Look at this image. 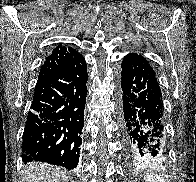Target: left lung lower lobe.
Instances as JSON below:
<instances>
[{"mask_svg": "<svg viewBox=\"0 0 196 182\" xmlns=\"http://www.w3.org/2000/svg\"><path fill=\"white\" fill-rule=\"evenodd\" d=\"M123 132L127 152L137 159L162 157L164 106L156 74L150 64L128 54L121 66Z\"/></svg>", "mask_w": 196, "mask_h": 182, "instance_id": "obj_1", "label": "left lung lower lobe"}]
</instances>
